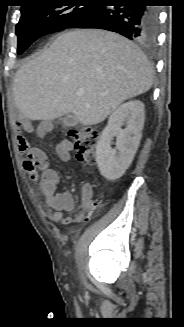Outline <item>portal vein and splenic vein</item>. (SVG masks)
I'll use <instances>...</instances> for the list:
<instances>
[{"label":"portal vein and splenic vein","instance_id":"obj_1","mask_svg":"<svg viewBox=\"0 0 184 327\" xmlns=\"http://www.w3.org/2000/svg\"><path fill=\"white\" fill-rule=\"evenodd\" d=\"M76 94L78 96H82L84 94V90L83 89H79V90H77Z\"/></svg>","mask_w":184,"mask_h":327}]
</instances>
